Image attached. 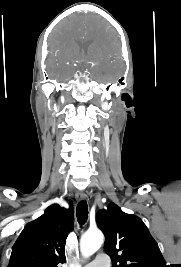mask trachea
<instances>
[{"mask_svg": "<svg viewBox=\"0 0 181 267\" xmlns=\"http://www.w3.org/2000/svg\"><path fill=\"white\" fill-rule=\"evenodd\" d=\"M76 216L80 225L86 223L88 219V206L85 200L79 202L76 208Z\"/></svg>", "mask_w": 181, "mask_h": 267, "instance_id": "trachea-1", "label": "trachea"}]
</instances>
